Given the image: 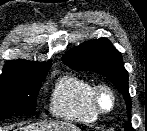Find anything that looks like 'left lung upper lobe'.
<instances>
[{"instance_id": "5c2ea615", "label": "left lung upper lobe", "mask_w": 147, "mask_h": 131, "mask_svg": "<svg viewBox=\"0 0 147 131\" xmlns=\"http://www.w3.org/2000/svg\"><path fill=\"white\" fill-rule=\"evenodd\" d=\"M63 62L72 69L94 71L109 79L123 94L130 117L131 99L128 91V72L121 54L106 38L89 40L65 54ZM126 130H133L131 124Z\"/></svg>"}]
</instances>
